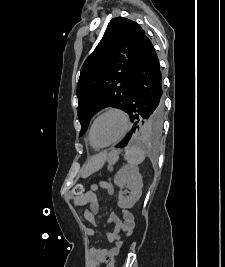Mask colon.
Instances as JSON below:
<instances>
[{
    "instance_id": "1",
    "label": "colon",
    "mask_w": 225,
    "mask_h": 267,
    "mask_svg": "<svg viewBox=\"0 0 225 267\" xmlns=\"http://www.w3.org/2000/svg\"><path fill=\"white\" fill-rule=\"evenodd\" d=\"M73 194L76 196H82L84 194V187L82 185H76L73 188ZM106 267H114V261L112 259H109L107 261Z\"/></svg>"
}]
</instances>
